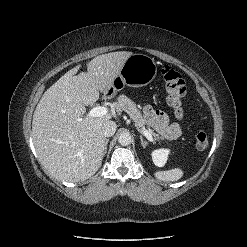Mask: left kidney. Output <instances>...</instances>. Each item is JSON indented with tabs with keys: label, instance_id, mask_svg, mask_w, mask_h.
<instances>
[{
	"label": "left kidney",
	"instance_id": "1",
	"mask_svg": "<svg viewBox=\"0 0 247 247\" xmlns=\"http://www.w3.org/2000/svg\"><path fill=\"white\" fill-rule=\"evenodd\" d=\"M169 149H157L152 152V160L158 167H163L167 162Z\"/></svg>",
	"mask_w": 247,
	"mask_h": 247
}]
</instances>
